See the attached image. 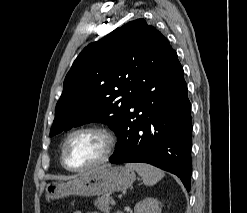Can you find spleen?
I'll return each instance as SVG.
<instances>
[{"mask_svg":"<svg viewBox=\"0 0 247 213\" xmlns=\"http://www.w3.org/2000/svg\"><path fill=\"white\" fill-rule=\"evenodd\" d=\"M125 167L136 171L143 178L144 184L153 186L164 177V172L154 166L144 163L126 164Z\"/></svg>","mask_w":247,"mask_h":213,"instance_id":"spleen-1","label":"spleen"}]
</instances>
